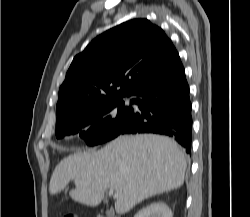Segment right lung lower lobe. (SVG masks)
<instances>
[{"label": "right lung lower lobe", "mask_w": 250, "mask_h": 217, "mask_svg": "<svg viewBox=\"0 0 250 217\" xmlns=\"http://www.w3.org/2000/svg\"><path fill=\"white\" fill-rule=\"evenodd\" d=\"M129 123L120 134L157 133L174 138L191 153L192 116L189 86L180 58L154 82L135 94Z\"/></svg>", "instance_id": "98d812e1"}]
</instances>
